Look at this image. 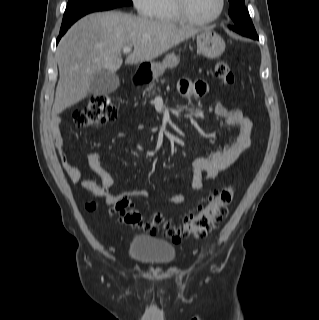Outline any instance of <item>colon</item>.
<instances>
[{
    "label": "colon",
    "mask_w": 319,
    "mask_h": 320,
    "mask_svg": "<svg viewBox=\"0 0 319 320\" xmlns=\"http://www.w3.org/2000/svg\"><path fill=\"white\" fill-rule=\"evenodd\" d=\"M214 76L224 85H233L235 82L230 65L224 59L215 65ZM116 118L117 109L108 94L91 96L86 106L74 116L77 125L92 127L112 122ZM233 197V186H225L215 191L194 214L185 216L178 226L165 223L159 214L148 216L141 213L132 207L131 201L126 197H122L116 202L115 209L121 214L125 224L147 232H154L162 227L168 237L179 241L188 237H206L227 216ZM87 208L92 210L95 208V204L90 203Z\"/></svg>",
    "instance_id": "colon-1"
}]
</instances>
